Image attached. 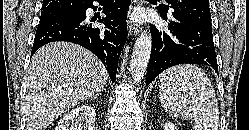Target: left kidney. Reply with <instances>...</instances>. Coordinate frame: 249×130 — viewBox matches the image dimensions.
<instances>
[{
	"label": "left kidney",
	"instance_id": "1",
	"mask_svg": "<svg viewBox=\"0 0 249 130\" xmlns=\"http://www.w3.org/2000/svg\"><path fill=\"white\" fill-rule=\"evenodd\" d=\"M164 130H177V127L172 122H167L164 126Z\"/></svg>",
	"mask_w": 249,
	"mask_h": 130
}]
</instances>
